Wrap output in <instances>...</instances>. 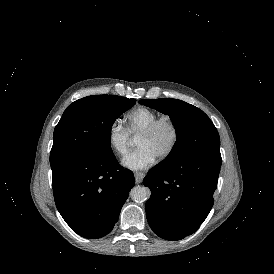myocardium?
<instances>
[{
	"mask_svg": "<svg viewBox=\"0 0 274 274\" xmlns=\"http://www.w3.org/2000/svg\"><path fill=\"white\" fill-rule=\"evenodd\" d=\"M162 127H167L170 130L171 142L168 149L157 159L159 162L169 158L176 149L179 138V132L175 122L170 118H160L139 133V136L149 137L154 135Z\"/></svg>",
	"mask_w": 274,
	"mask_h": 274,
	"instance_id": "myocardium-1",
	"label": "myocardium"
}]
</instances>
